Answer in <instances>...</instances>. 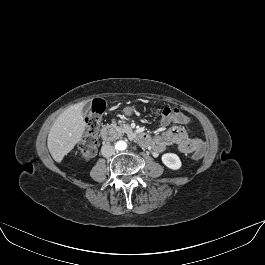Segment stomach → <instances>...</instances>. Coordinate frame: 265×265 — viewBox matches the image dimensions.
<instances>
[{
    "mask_svg": "<svg viewBox=\"0 0 265 265\" xmlns=\"http://www.w3.org/2000/svg\"><path fill=\"white\" fill-rule=\"evenodd\" d=\"M123 111H124V113H125L126 115L130 116V115L134 112V108H133V107H129V106H127V107L124 108Z\"/></svg>",
    "mask_w": 265,
    "mask_h": 265,
    "instance_id": "0dacf381",
    "label": "stomach"
}]
</instances>
